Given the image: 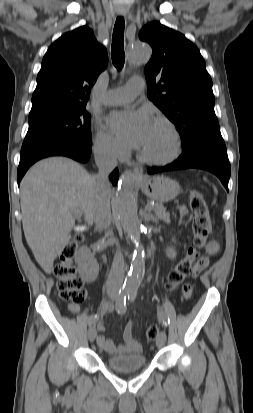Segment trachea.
Masks as SVG:
<instances>
[{"label":"trachea","mask_w":253,"mask_h":413,"mask_svg":"<svg viewBox=\"0 0 253 413\" xmlns=\"http://www.w3.org/2000/svg\"><path fill=\"white\" fill-rule=\"evenodd\" d=\"M124 18L118 17L115 22L113 37H112V47L111 56L114 66L121 70L125 62L124 53Z\"/></svg>","instance_id":"trachea-1"}]
</instances>
